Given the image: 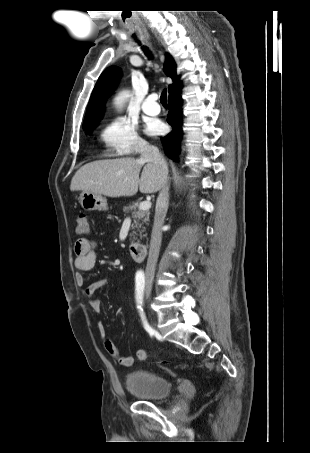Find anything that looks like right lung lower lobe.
I'll list each match as a JSON object with an SVG mask.
<instances>
[{"mask_svg":"<svg viewBox=\"0 0 310 453\" xmlns=\"http://www.w3.org/2000/svg\"><path fill=\"white\" fill-rule=\"evenodd\" d=\"M180 92L181 84L178 81L169 90L168 98L169 114L167 122L172 126L173 130L168 135L161 138L166 155L173 160H177L180 150V138L182 136V100Z\"/></svg>","mask_w":310,"mask_h":453,"instance_id":"1","label":"right lung lower lobe"}]
</instances>
